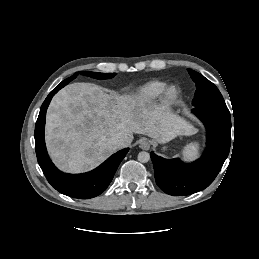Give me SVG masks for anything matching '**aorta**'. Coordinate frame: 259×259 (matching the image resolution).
Instances as JSON below:
<instances>
[{"instance_id": "1", "label": "aorta", "mask_w": 259, "mask_h": 259, "mask_svg": "<svg viewBox=\"0 0 259 259\" xmlns=\"http://www.w3.org/2000/svg\"><path fill=\"white\" fill-rule=\"evenodd\" d=\"M138 160L142 163H146L150 160V155L148 152L142 151L138 154Z\"/></svg>"}]
</instances>
